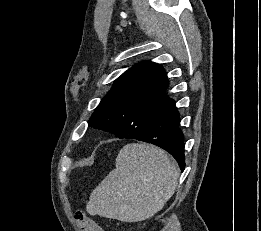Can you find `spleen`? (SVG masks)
I'll return each instance as SVG.
<instances>
[{
  "label": "spleen",
  "instance_id": "3e777b00",
  "mask_svg": "<svg viewBox=\"0 0 261 231\" xmlns=\"http://www.w3.org/2000/svg\"><path fill=\"white\" fill-rule=\"evenodd\" d=\"M112 170L90 194L87 211L123 222H138L160 211L174 194L177 163L162 149L125 145Z\"/></svg>",
  "mask_w": 261,
  "mask_h": 231
}]
</instances>
